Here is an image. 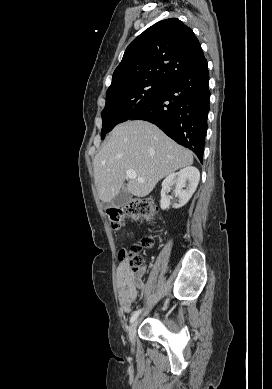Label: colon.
I'll use <instances>...</instances> for the list:
<instances>
[{
  "instance_id": "obj_1",
  "label": "colon",
  "mask_w": 272,
  "mask_h": 389,
  "mask_svg": "<svg viewBox=\"0 0 272 389\" xmlns=\"http://www.w3.org/2000/svg\"><path fill=\"white\" fill-rule=\"evenodd\" d=\"M155 212V206L145 200L135 199L123 206L122 208L109 209L107 217L110 226L117 230L122 227L126 217L151 219ZM153 238L147 236L138 244L130 247L128 251L122 250L120 252V259L126 260L128 265L134 271L138 270L142 264L143 252L153 246Z\"/></svg>"
}]
</instances>
